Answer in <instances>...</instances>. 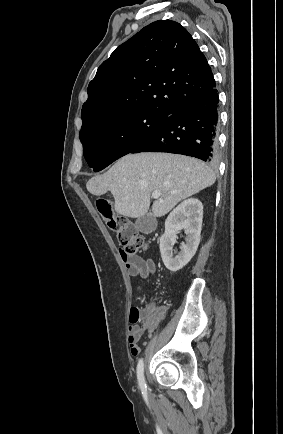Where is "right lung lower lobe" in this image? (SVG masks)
I'll list each match as a JSON object with an SVG mask.
<instances>
[{
    "label": "right lung lower lobe",
    "mask_w": 283,
    "mask_h": 434,
    "mask_svg": "<svg viewBox=\"0 0 283 434\" xmlns=\"http://www.w3.org/2000/svg\"><path fill=\"white\" fill-rule=\"evenodd\" d=\"M217 130L218 94L214 87L177 108L130 153L168 152L213 162Z\"/></svg>",
    "instance_id": "1"
}]
</instances>
